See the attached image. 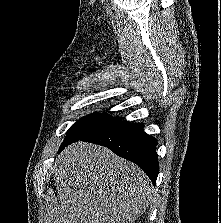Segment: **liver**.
Masks as SVG:
<instances>
[{"label":"liver","mask_w":221,"mask_h":223,"mask_svg":"<svg viewBox=\"0 0 221 223\" xmlns=\"http://www.w3.org/2000/svg\"><path fill=\"white\" fill-rule=\"evenodd\" d=\"M53 173L59 203L52 208V223H132L154 196L138 166L95 144L66 147Z\"/></svg>","instance_id":"liver-1"}]
</instances>
